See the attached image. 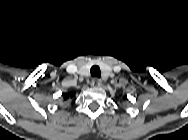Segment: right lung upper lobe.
Returning <instances> with one entry per match:
<instances>
[{
	"label": "right lung upper lobe",
	"instance_id": "1",
	"mask_svg": "<svg viewBox=\"0 0 188 140\" xmlns=\"http://www.w3.org/2000/svg\"><path fill=\"white\" fill-rule=\"evenodd\" d=\"M74 96V94H71V93H66L64 95V100H68L69 98H72Z\"/></svg>",
	"mask_w": 188,
	"mask_h": 140
}]
</instances>
